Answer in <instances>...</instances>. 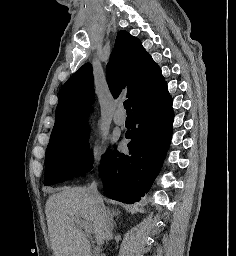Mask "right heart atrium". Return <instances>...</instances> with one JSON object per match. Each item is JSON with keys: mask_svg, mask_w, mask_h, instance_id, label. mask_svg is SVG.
<instances>
[{"mask_svg": "<svg viewBox=\"0 0 236 256\" xmlns=\"http://www.w3.org/2000/svg\"><path fill=\"white\" fill-rule=\"evenodd\" d=\"M101 144L99 142H93L88 151V160L92 166H97L101 158Z\"/></svg>", "mask_w": 236, "mask_h": 256, "instance_id": "obj_1", "label": "right heart atrium"}]
</instances>
